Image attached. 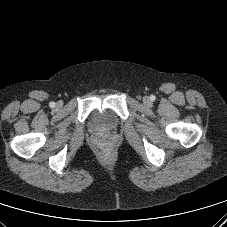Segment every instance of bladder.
Instances as JSON below:
<instances>
[{
    "label": "bladder",
    "instance_id": "31cf9c89",
    "mask_svg": "<svg viewBox=\"0 0 227 227\" xmlns=\"http://www.w3.org/2000/svg\"><path fill=\"white\" fill-rule=\"evenodd\" d=\"M119 120L110 109H96L89 117V126L94 131L109 132L118 126Z\"/></svg>",
    "mask_w": 227,
    "mask_h": 227
}]
</instances>
